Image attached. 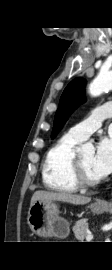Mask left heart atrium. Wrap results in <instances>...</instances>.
I'll list each match as a JSON object with an SVG mask.
<instances>
[{"label": "left heart atrium", "instance_id": "39dd6f15", "mask_svg": "<svg viewBox=\"0 0 112 270\" xmlns=\"http://www.w3.org/2000/svg\"><path fill=\"white\" fill-rule=\"evenodd\" d=\"M93 170L101 179L112 172V136L102 137L96 147Z\"/></svg>", "mask_w": 112, "mask_h": 270}]
</instances>
